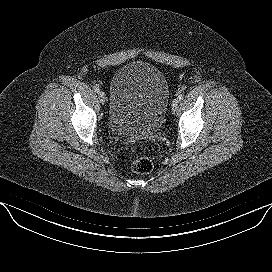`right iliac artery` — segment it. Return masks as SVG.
<instances>
[{"mask_svg": "<svg viewBox=\"0 0 272 272\" xmlns=\"http://www.w3.org/2000/svg\"><path fill=\"white\" fill-rule=\"evenodd\" d=\"M93 90H94L95 92H97V93L100 91V89H99L98 86H94V87H93Z\"/></svg>", "mask_w": 272, "mask_h": 272, "instance_id": "obj_1", "label": "right iliac artery"}]
</instances>
